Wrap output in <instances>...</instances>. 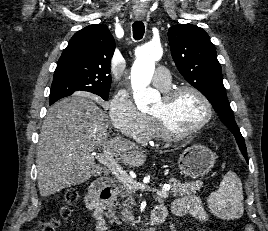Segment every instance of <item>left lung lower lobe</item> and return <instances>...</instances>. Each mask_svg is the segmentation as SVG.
<instances>
[{"instance_id":"obj_1","label":"left lung lower lobe","mask_w":268,"mask_h":231,"mask_svg":"<svg viewBox=\"0 0 268 231\" xmlns=\"http://www.w3.org/2000/svg\"><path fill=\"white\" fill-rule=\"evenodd\" d=\"M241 152H242L243 156L245 157L246 161L248 162L247 151L243 150Z\"/></svg>"}]
</instances>
